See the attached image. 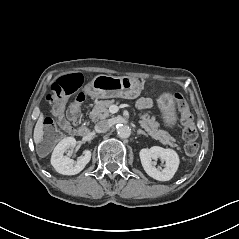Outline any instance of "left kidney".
Segmentation results:
<instances>
[{
  "instance_id": "obj_1",
  "label": "left kidney",
  "mask_w": 239,
  "mask_h": 239,
  "mask_svg": "<svg viewBox=\"0 0 239 239\" xmlns=\"http://www.w3.org/2000/svg\"><path fill=\"white\" fill-rule=\"evenodd\" d=\"M140 160L145 172L152 178L159 181H168L175 174L179 159L175 151L171 149H164L162 147L153 146L150 149H141ZM152 159H160L163 164V168L157 169L152 164Z\"/></svg>"
}]
</instances>
